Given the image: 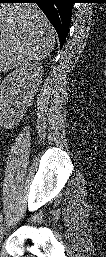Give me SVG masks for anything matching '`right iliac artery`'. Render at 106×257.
Listing matches in <instances>:
<instances>
[{"label":"right iliac artery","instance_id":"right-iliac-artery-1","mask_svg":"<svg viewBox=\"0 0 106 257\" xmlns=\"http://www.w3.org/2000/svg\"><path fill=\"white\" fill-rule=\"evenodd\" d=\"M3 220V216H2V214L0 215V221H2Z\"/></svg>","mask_w":106,"mask_h":257}]
</instances>
